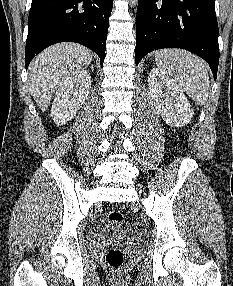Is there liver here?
Listing matches in <instances>:
<instances>
[{
  "label": "liver",
  "mask_w": 233,
  "mask_h": 286,
  "mask_svg": "<svg viewBox=\"0 0 233 286\" xmlns=\"http://www.w3.org/2000/svg\"><path fill=\"white\" fill-rule=\"evenodd\" d=\"M92 59L93 53L76 43L56 44L41 52L29 66L30 91L38 107L45 111L57 88Z\"/></svg>",
  "instance_id": "1"
}]
</instances>
